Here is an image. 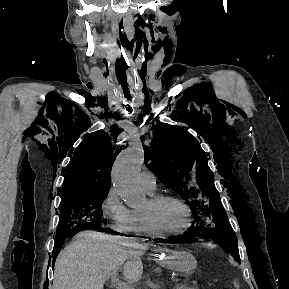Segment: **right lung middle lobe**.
Instances as JSON below:
<instances>
[{
	"instance_id": "1",
	"label": "right lung middle lobe",
	"mask_w": 289,
	"mask_h": 289,
	"mask_svg": "<svg viewBox=\"0 0 289 289\" xmlns=\"http://www.w3.org/2000/svg\"><path fill=\"white\" fill-rule=\"evenodd\" d=\"M109 191L62 197L56 237H64L86 229L101 230L105 224L101 205Z\"/></svg>"
}]
</instances>
